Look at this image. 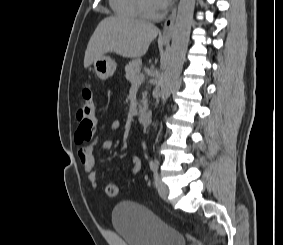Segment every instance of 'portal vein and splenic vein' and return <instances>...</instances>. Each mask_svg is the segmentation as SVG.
I'll list each match as a JSON object with an SVG mask.
<instances>
[{"label": "portal vein and splenic vein", "instance_id": "18ae733b", "mask_svg": "<svg viewBox=\"0 0 283 245\" xmlns=\"http://www.w3.org/2000/svg\"><path fill=\"white\" fill-rule=\"evenodd\" d=\"M143 80H144V75H140V76L135 80L134 83L140 84Z\"/></svg>", "mask_w": 283, "mask_h": 245}]
</instances>
